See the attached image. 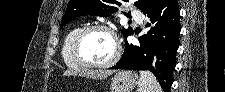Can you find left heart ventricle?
Returning <instances> with one entry per match:
<instances>
[{"mask_svg": "<svg viewBox=\"0 0 225 92\" xmlns=\"http://www.w3.org/2000/svg\"><path fill=\"white\" fill-rule=\"evenodd\" d=\"M82 55L93 63H104L110 60L115 52L111 36L104 31L95 30L88 33L80 45Z\"/></svg>", "mask_w": 225, "mask_h": 92, "instance_id": "b2bd125f", "label": "left heart ventricle"}]
</instances>
